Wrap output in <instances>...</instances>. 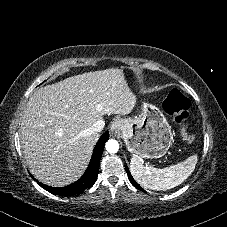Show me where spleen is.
Returning a JSON list of instances; mask_svg holds the SVG:
<instances>
[{
    "label": "spleen",
    "mask_w": 227,
    "mask_h": 227,
    "mask_svg": "<svg viewBox=\"0 0 227 227\" xmlns=\"http://www.w3.org/2000/svg\"><path fill=\"white\" fill-rule=\"evenodd\" d=\"M197 161V155L194 154L183 162L158 169L144 165L139 157L133 156L130 170L134 179L142 187L157 191L168 190L184 182L194 171Z\"/></svg>",
    "instance_id": "1"
}]
</instances>
